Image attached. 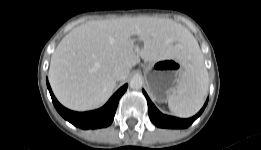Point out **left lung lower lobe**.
Instances as JSON below:
<instances>
[{
  "mask_svg": "<svg viewBox=\"0 0 261 150\" xmlns=\"http://www.w3.org/2000/svg\"><path fill=\"white\" fill-rule=\"evenodd\" d=\"M143 93L145 97L147 98L148 102V113L151 121L157 126L161 128H187L190 126L203 112L204 108L207 105L208 100L206 101L204 107L200 110L198 114H196L194 117L189 119H180L176 117H171L167 115H163L159 110L154 106V104L149 99L146 92L143 90Z\"/></svg>",
  "mask_w": 261,
  "mask_h": 150,
  "instance_id": "0a47b994",
  "label": "left lung lower lobe"
}]
</instances>
